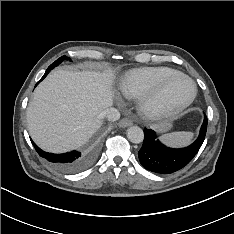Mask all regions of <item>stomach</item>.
Here are the masks:
<instances>
[{"label": "stomach", "mask_w": 234, "mask_h": 234, "mask_svg": "<svg viewBox=\"0 0 234 234\" xmlns=\"http://www.w3.org/2000/svg\"><path fill=\"white\" fill-rule=\"evenodd\" d=\"M172 128V122L169 120L161 121L160 123L154 125V129L159 132H167Z\"/></svg>", "instance_id": "obj_1"}]
</instances>
